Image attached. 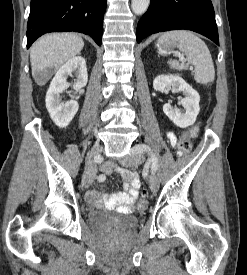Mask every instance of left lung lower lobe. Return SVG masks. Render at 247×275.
Listing matches in <instances>:
<instances>
[{"label": "left lung lower lobe", "instance_id": "1", "mask_svg": "<svg viewBox=\"0 0 247 275\" xmlns=\"http://www.w3.org/2000/svg\"><path fill=\"white\" fill-rule=\"evenodd\" d=\"M178 29L200 33L219 45L211 0H151L137 25V42L157 32Z\"/></svg>", "mask_w": 247, "mask_h": 275}]
</instances>
